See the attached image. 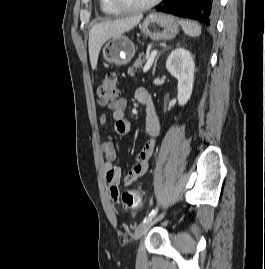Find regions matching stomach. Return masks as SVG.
Masks as SVG:
<instances>
[{
    "instance_id": "1",
    "label": "stomach",
    "mask_w": 265,
    "mask_h": 269,
    "mask_svg": "<svg viewBox=\"0 0 265 269\" xmlns=\"http://www.w3.org/2000/svg\"><path fill=\"white\" fill-rule=\"evenodd\" d=\"M139 26L146 36L153 39L169 40L178 33V23L174 17L161 13L148 15ZM102 53L108 63L122 66L133 58L135 46L126 36L120 35L109 39Z\"/></svg>"
}]
</instances>
